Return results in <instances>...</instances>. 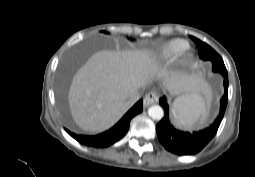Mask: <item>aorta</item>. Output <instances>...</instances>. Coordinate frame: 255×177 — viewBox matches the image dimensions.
<instances>
[{
	"instance_id": "762f6f07",
	"label": "aorta",
	"mask_w": 255,
	"mask_h": 177,
	"mask_svg": "<svg viewBox=\"0 0 255 177\" xmlns=\"http://www.w3.org/2000/svg\"><path fill=\"white\" fill-rule=\"evenodd\" d=\"M148 115L152 118V119H155V120H160L163 118L164 116V111L162 109V107L158 106V105H154V106H151L149 109H148Z\"/></svg>"
}]
</instances>
